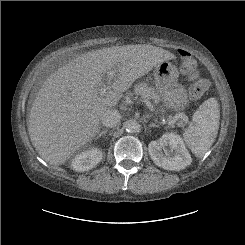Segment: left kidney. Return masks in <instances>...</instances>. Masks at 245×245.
<instances>
[{
    "label": "left kidney",
    "instance_id": "5707ae66",
    "mask_svg": "<svg viewBox=\"0 0 245 245\" xmlns=\"http://www.w3.org/2000/svg\"><path fill=\"white\" fill-rule=\"evenodd\" d=\"M170 149L165 155L163 149ZM149 155L153 162L166 170L179 171L191 164L192 158L178 134L165 133L158 140L148 145Z\"/></svg>",
    "mask_w": 245,
    "mask_h": 245
}]
</instances>
